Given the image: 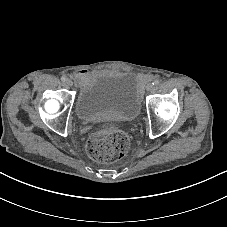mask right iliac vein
I'll list each match as a JSON object with an SVG mask.
<instances>
[{"instance_id":"1","label":"right iliac vein","mask_w":227,"mask_h":227,"mask_svg":"<svg viewBox=\"0 0 227 227\" xmlns=\"http://www.w3.org/2000/svg\"><path fill=\"white\" fill-rule=\"evenodd\" d=\"M66 85L68 86V87H71L72 85H73V82H72V80H67L66 81Z\"/></svg>"}]
</instances>
